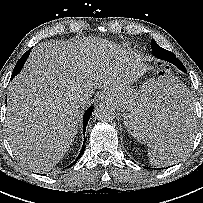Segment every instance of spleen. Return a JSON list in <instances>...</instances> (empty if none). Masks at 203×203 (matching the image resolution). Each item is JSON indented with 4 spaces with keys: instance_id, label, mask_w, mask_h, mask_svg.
I'll return each mask as SVG.
<instances>
[{
    "instance_id": "3e777b00",
    "label": "spleen",
    "mask_w": 203,
    "mask_h": 203,
    "mask_svg": "<svg viewBox=\"0 0 203 203\" xmlns=\"http://www.w3.org/2000/svg\"><path fill=\"white\" fill-rule=\"evenodd\" d=\"M168 111L175 112L178 117L185 119L192 133L194 122L192 97L186 86L174 79L153 84L148 89V94L138 103L128 125L131 135L148 145L150 163L160 167L177 162L188 152L192 142V137H189L192 135H187L183 143L177 139L156 143V137H152L151 133L159 124L161 116ZM154 114L159 116L156 126L151 121ZM135 130L140 132L137 133ZM145 136L149 140H144Z\"/></svg>"
}]
</instances>
